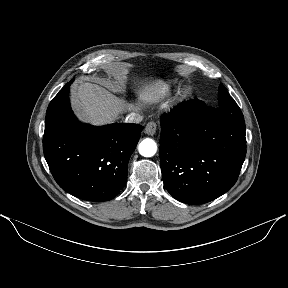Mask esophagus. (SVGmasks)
Returning <instances> with one entry per match:
<instances>
[{
	"mask_svg": "<svg viewBox=\"0 0 288 288\" xmlns=\"http://www.w3.org/2000/svg\"><path fill=\"white\" fill-rule=\"evenodd\" d=\"M157 131V124L154 121L148 122V124L145 127V133L153 136Z\"/></svg>",
	"mask_w": 288,
	"mask_h": 288,
	"instance_id": "esophagus-1",
	"label": "esophagus"
}]
</instances>
